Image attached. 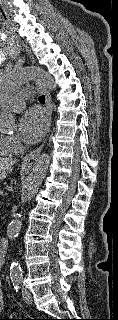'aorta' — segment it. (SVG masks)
<instances>
[{
	"label": "aorta",
	"instance_id": "762f6f07",
	"mask_svg": "<svg viewBox=\"0 0 118 320\" xmlns=\"http://www.w3.org/2000/svg\"><path fill=\"white\" fill-rule=\"evenodd\" d=\"M30 80H37L48 89H56L54 78L47 71L40 67H25L15 69L5 74L0 79V100H5L22 84ZM17 127V118L9 110L0 109V130L10 131ZM50 164V156L42 153L34 163L32 172L22 193V202H29L37 193L43 179L46 176ZM22 226V215L13 219L7 227V236L11 241H15ZM10 278L20 280L22 269L18 261H13L10 266Z\"/></svg>",
	"mask_w": 118,
	"mask_h": 320
}]
</instances>
